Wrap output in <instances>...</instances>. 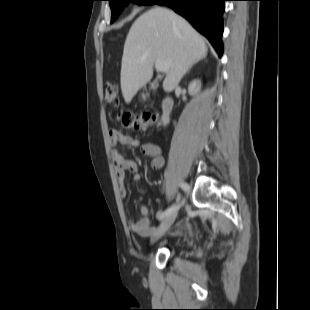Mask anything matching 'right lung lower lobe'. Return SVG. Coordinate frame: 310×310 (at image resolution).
Wrapping results in <instances>:
<instances>
[{
  "label": "right lung lower lobe",
  "instance_id": "1",
  "mask_svg": "<svg viewBox=\"0 0 310 310\" xmlns=\"http://www.w3.org/2000/svg\"><path fill=\"white\" fill-rule=\"evenodd\" d=\"M226 0H155L153 4L166 5L186 18L214 46L223 53V13Z\"/></svg>",
  "mask_w": 310,
  "mask_h": 310
}]
</instances>
